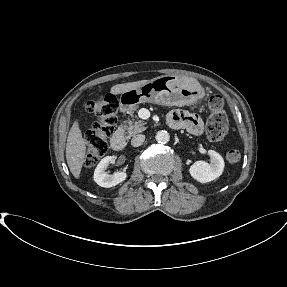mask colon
<instances>
[{"mask_svg": "<svg viewBox=\"0 0 287 287\" xmlns=\"http://www.w3.org/2000/svg\"><path fill=\"white\" fill-rule=\"evenodd\" d=\"M118 106V99L111 94L101 95L88 102L87 110L97 117V121L86 134L85 165L87 167L94 166L106 154L108 140L116 128ZM208 108L207 135L212 141L222 140L228 131V119L222 97L217 94L212 95L208 101ZM226 159L229 163H238L241 152L238 149H230Z\"/></svg>", "mask_w": 287, "mask_h": 287, "instance_id": "5ec220e1", "label": "colon"}]
</instances>
